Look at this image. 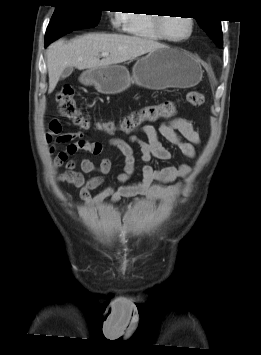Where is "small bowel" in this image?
I'll return each mask as SVG.
<instances>
[{"mask_svg": "<svg viewBox=\"0 0 261 355\" xmlns=\"http://www.w3.org/2000/svg\"><path fill=\"white\" fill-rule=\"evenodd\" d=\"M59 129L51 128L45 136L51 154L55 153L58 145H66L55 157V166L66 168L64 172L56 176V180L78 188L80 199L90 208H98L107 199H110L112 203H117L122 198H133L138 201L141 197L150 204L174 201L180 191V184L176 180L188 175L189 166L155 168L150 163L151 159L153 157L160 160L171 159L172 154L164 146L162 139L188 158L195 156V145L200 142V136L193 124L182 117H174L163 122L159 127L143 126L141 134L146 137V140L137 136H130L128 140L111 138L108 144L123 155L124 169L117 177V185L109 186L93 196L91 192L104 182V175L110 172L112 166L110 159L104 154V144L89 141L81 132L59 133ZM130 142L138 145L140 158L144 163L142 179L136 184H126L135 171V154ZM79 151H87L100 157L99 165H95L89 159H70V156ZM76 167H79L80 171H76ZM93 172L98 174L90 179L85 178L84 174Z\"/></svg>", "mask_w": 261, "mask_h": 355, "instance_id": "small-bowel-1", "label": "small bowel"}]
</instances>
